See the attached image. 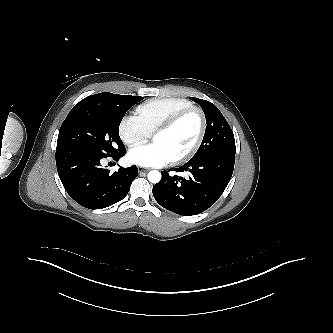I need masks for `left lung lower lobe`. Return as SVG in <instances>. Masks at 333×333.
Masks as SVG:
<instances>
[{"instance_id":"0a47b994","label":"left lung lower lobe","mask_w":333,"mask_h":333,"mask_svg":"<svg viewBox=\"0 0 333 333\" xmlns=\"http://www.w3.org/2000/svg\"><path fill=\"white\" fill-rule=\"evenodd\" d=\"M235 154L217 153L191 159L175 171H189V179L169 176L153 186L155 200L180 215H196L211 207L227 187L234 169Z\"/></svg>"}]
</instances>
